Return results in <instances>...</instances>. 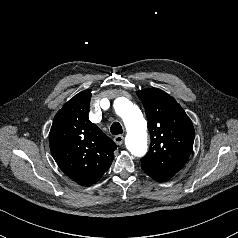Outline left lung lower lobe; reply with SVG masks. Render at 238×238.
Masks as SVG:
<instances>
[{"label":"left lung lower lobe","instance_id":"left-lung-lower-lobe-1","mask_svg":"<svg viewBox=\"0 0 238 238\" xmlns=\"http://www.w3.org/2000/svg\"><path fill=\"white\" fill-rule=\"evenodd\" d=\"M143 171L148 175L150 176L152 179L158 181V182H164V181H167L169 180L170 178L169 177H165V176H160V175H156L148 170H144Z\"/></svg>","mask_w":238,"mask_h":238}]
</instances>
